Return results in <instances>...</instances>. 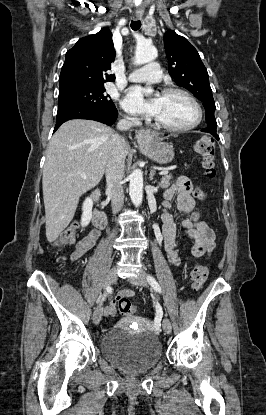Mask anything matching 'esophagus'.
<instances>
[{
	"label": "esophagus",
	"mask_w": 266,
	"mask_h": 415,
	"mask_svg": "<svg viewBox=\"0 0 266 415\" xmlns=\"http://www.w3.org/2000/svg\"><path fill=\"white\" fill-rule=\"evenodd\" d=\"M142 19V14H136V20H140ZM150 136V132L147 130H139L136 133V139L138 142H143L144 140H146L148 137Z\"/></svg>",
	"instance_id": "34e87169"
}]
</instances>
